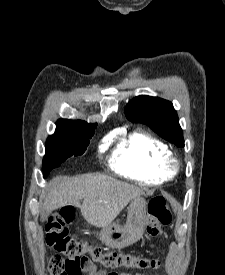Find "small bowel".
I'll return each instance as SVG.
<instances>
[{
    "label": "small bowel",
    "instance_id": "obj_1",
    "mask_svg": "<svg viewBox=\"0 0 225 275\" xmlns=\"http://www.w3.org/2000/svg\"><path fill=\"white\" fill-rule=\"evenodd\" d=\"M93 275H110V272L106 268H99ZM116 275H132V274L121 272V273H116ZM134 275H144V274L136 273Z\"/></svg>",
    "mask_w": 225,
    "mask_h": 275
}]
</instances>
